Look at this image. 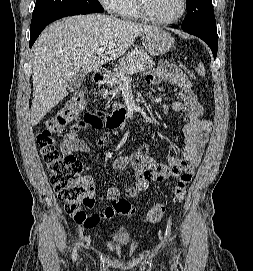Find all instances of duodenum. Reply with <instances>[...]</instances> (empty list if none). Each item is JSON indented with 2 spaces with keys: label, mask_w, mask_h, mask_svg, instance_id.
I'll return each mask as SVG.
<instances>
[{
  "label": "duodenum",
  "mask_w": 253,
  "mask_h": 271,
  "mask_svg": "<svg viewBox=\"0 0 253 271\" xmlns=\"http://www.w3.org/2000/svg\"><path fill=\"white\" fill-rule=\"evenodd\" d=\"M93 80L96 85L104 84L106 80V73L102 70L96 71L94 73ZM128 118H129L128 110L125 108H119L112 112L108 119V122L112 127H119L126 123Z\"/></svg>",
  "instance_id": "duodenum-1"
}]
</instances>
